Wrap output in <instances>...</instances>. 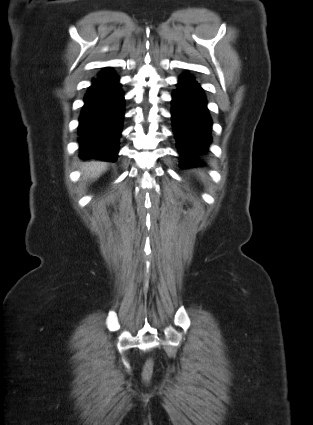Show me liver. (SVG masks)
Instances as JSON below:
<instances>
[{"mask_svg":"<svg viewBox=\"0 0 313 425\" xmlns=\"http://www.w3.org/2000/svg\"><path fill=\"white\" fill-rule=\"evenodd\" d=\"M107 168V163L99 161H91L84 163L81 167L85 178H97Z\"/></svg>","mask_w":313,"mask_h":425,"instance_id":"obj_1","label":"liver"}]
</instances>
